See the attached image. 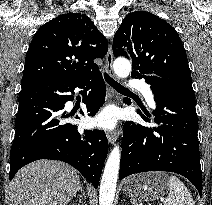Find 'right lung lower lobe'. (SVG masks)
<instances>
[{"label":"right lung lower lobe","mask_w":212,"mask_h":205,"mask_svg":"<svg viewBox=\"0 0 212 205\" xmlns=\"http://www.w3.org/2000/svg\"><path fill=\"white\" fill-rule=\"evenodd\" d=\"M76 88L84 93L88 115L94 116L104 103L105 83L100 72L71 80H47L25 87L19 95L16 132L10 152L9 179L24 165L39 159H56L75 167L95 188L98 187L108 152L104 131L78 132L77 125L65 123L64 104L73 101ZM82 93V91H81ZM83 114L82 111H80ZM75 118L79 119L78 116Z\"/></svg>","instance_id":"obj_1"}]
</instances>
